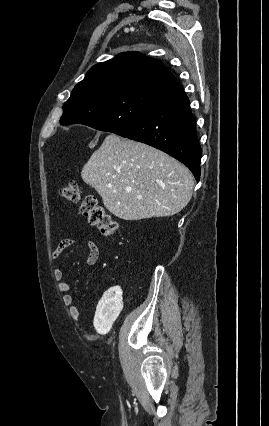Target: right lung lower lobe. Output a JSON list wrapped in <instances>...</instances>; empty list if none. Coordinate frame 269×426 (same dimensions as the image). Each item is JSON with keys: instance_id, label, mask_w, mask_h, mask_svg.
<instances>
[{"instance_id": "right-lung-lower-lobe-1", "label": "right lung lower lobe", "mask_w": 269, "mask_h": 426, "mask_svg": "<svg viewBox=\"0 0 269 426\" xmlns=\"http://www.w3.org/2000/svg\"><path fill=\"white\" fill-rule=\"evenodd\" d=\"M114 133L164 151L185 164L200 180L202 149L189 99L180 83L163 89L144 116Z\"/></svg>"}]
</instances>
